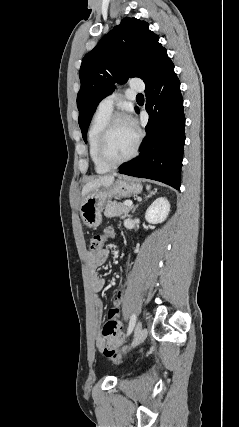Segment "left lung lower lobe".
Returning <instances> with one entry per match:
<instances>
[{
  "label": "left lung lower lobe",
  "instance_id": "0a47b994",
  "mask_svg": "<svg viewBox=\"0 0 239 427\" xmlns=\"http://www.w3.org/2000/svg\"><path fill=\"white\" fill-rule=\"evenodd\" d=\"M145 84L147 135L140 146V155L123 163L119 173L157 180L179 190L185 116L180 82L172 61Z\"/></svg>",
  "mask_w": 239,
  "mask_h": 427
}]
</instances>
